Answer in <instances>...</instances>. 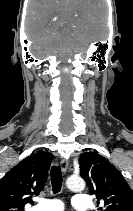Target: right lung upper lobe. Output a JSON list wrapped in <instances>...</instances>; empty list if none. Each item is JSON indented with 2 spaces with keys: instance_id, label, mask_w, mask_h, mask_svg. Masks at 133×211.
I'll use <instances>...</instances> for the list:
<instances>
[{
  "instance_id": "obj_1",
  "label": "right lung upper lobe",
  "mask_w": 133,
  "mask_h": 211,
  "mask_svg": "<svg viewBox=\"0 0 133 211\" xmlns=\"http://www.w3.org/2000/svg\"><path fill=\"white\" fill-rule=\"evenodd\" d=\"M53 155L33 154L14 166L0 181V211H23L32 195L43 190Z\"/></svg>"
}]
</instances>
